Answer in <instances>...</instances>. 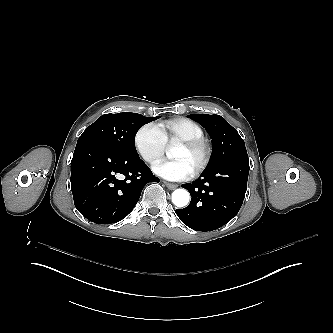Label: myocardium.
I'll return each instance as SVG.
<instances>
[{"label":"myocardium","instance_id":"myocardium-1","mask_svg":"<svg viewBox=\"0 0 333 333\" xmlns=\"http://www.w3.org/2000/svg\"><path fill=\"white\" fill-rule=\"evenodd\" d=\"M183 145L198 156V161L194 169L195 174L202 173L211 158L212 148L210 144L202 138L184 141Z\"/></svg>","mask_w":333,"mask_h":333}]
</instances>
